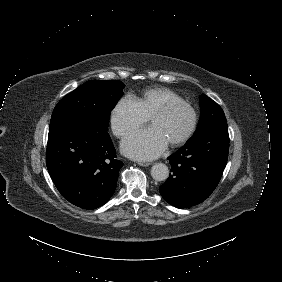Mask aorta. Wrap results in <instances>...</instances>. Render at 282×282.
<instances>
[{
    "mask_svg": "<svg viewBox=\"0 0 282 282\" xmlns=\"http://www.w3.org/2000/svg\"><path fill=\"white\" fill-rule=\"evenodd\" d=\"M151 176L155 181H164L169 176V169L163 163H156L151 168Z\"/></svg>",
    "mask_w": 282,
    "mask_h": 282,
    "instance_id": "aorta-1",
    "label": "aorta"
}]
</instances>
